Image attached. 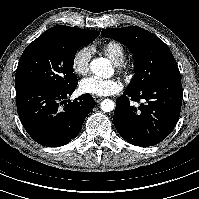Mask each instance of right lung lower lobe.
<instances>
[{"label": "right lung lower lobe", "mask_w": 199, "mask_h": 199, "mask_svg": "<svg viewBox=\"0 0 199 199\" xmlns=\"http://www.w3.org/2000/svg\"><path fill=\"white\" fill-rule=\"evenodd\" d=\"M76 86L65 89H17L18 115L34 141L46 147H59L77 137L95 101L90 94L81 95L72 102L67 101L66 98L71 96Z\"/></svg>", "instance_id": "98d812e1"}]
</instances>
